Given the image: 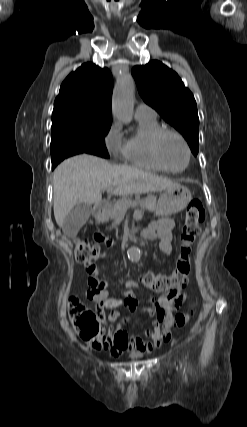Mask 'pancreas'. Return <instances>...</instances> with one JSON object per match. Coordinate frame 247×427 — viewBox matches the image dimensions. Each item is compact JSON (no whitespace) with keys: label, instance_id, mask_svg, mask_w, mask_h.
<instances>
[{"label":"pancreas","instance_id":"pancreas-1","mask_svg":"<svg viewBox=\"0 0 247 427\" xmlns=\"http://www.w3.org/2000/svg\"><path fill=\"white\" fill-rule=\"evenodd\" d=\"M131 203H135V205H131ZM137 205H139L142 209L155 210L157 205L156 197L154 195H148L144 199L137 197L135 200L124 197L120 200H117L110 207V209L107 210L106 214L108 217L113 219L115 223H118L124 217L129 207Z\"/></svg>","mask_w":247,"mask_h":427}]
</instances>
